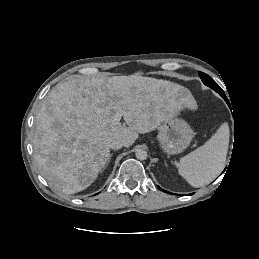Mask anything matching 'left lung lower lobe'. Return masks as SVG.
Returning <instances> with one entry per match:
<instances>
[{
    "label": "left lung lower lobe",
    "mask_w": 259,
    "mask_h": 259,
    "mask_svg": "<svg viewBox=\"0 0 259 259\" xmlns=\"http://www.w3.org/2000/svg\"><path fill=\"white\" fill-rule=\"evenodd\" d=\"M219 94L225 99L226 102H228L227 97H226L224 91L219 92ZM161 190L164 191L163 189H161ZM164 192H167V191H164ZM167 193H169V192H167Z\"/></svg>",
    "instance_id": "obj_1"
}]
</instances>
